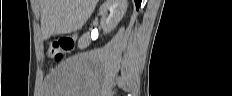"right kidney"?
Returning a JSON list of instances; mask_svg holds the SVG:
<instances>
[{"instance_id":"obj_1","label":"right kidney","mask_w":232,"mask_h":96,"mask_svg":"<svg viewBox=\"0 0 232 96\" xmlns=\"http://www.w3.org/2000/svg\"><path fill=\"white\" fill-rule=\"evenodd\" d=\"M127 10V0H106L99 9V15L102 16L100 24L105 34L111 32L121 21ZM107 11L110 14L107 17ZM89 35L84 34L78 41L79 48H85L89 45Z\"/></svg>"}]
</instances>
